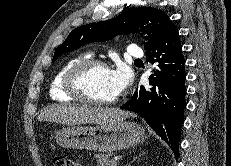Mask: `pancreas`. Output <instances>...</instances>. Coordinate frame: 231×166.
Instances as JSON below:
<instances>
[{"mask_svg": "<svg viewBox=\"0 0 231 166\" xmlns=\"http://www.w3.org/2000/svg\"><path fill=\"white\" fill-rule=\"evenodd\" d=\"M95 158H96L97 166H116L117 164L113 162V160H109L108 155L96 154Z\"/></svg>", "mask_w": 231, "mask_h": 166, "instance_id": "cf45deb5", "label": "pancreas"}]
</instances>
